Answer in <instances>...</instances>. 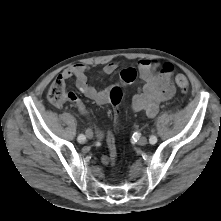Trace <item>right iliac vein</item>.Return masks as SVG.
Segmentation results:
<instances>
[{"label":"right iliac vein","mask_w":221,"mask_h":221,"mask_svg":"<svg viewBox=\"0 0 221 221\" xmlns=\"http://www.w3.org/2000/svg\"><path fill=\"white\" fill-rule=\"evenodd\" d=\"M93 136H94V134H93L92 130L88 129V130L86 131V137H87L88 139H92Z\"/></svg>","instance_id":"right-iliac-vein-1"}]
</instances>
